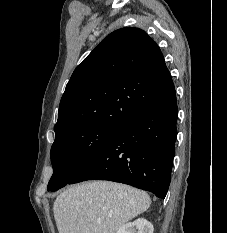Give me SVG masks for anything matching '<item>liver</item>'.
I'll use <instances>...</instances> for the list:
<instances>
[{
  "label": "liver",
  "instance_id": "6515ba94",
  "mask_svg": "<svg viewBox=\"0 0 227 233\" xmlns=\"http://www.w3.org/2000/svg\"><path fill=\"white\" fill-rule=\"evenodd\" d=\"M149 195L109 181L77 184L60 193L53 205L59 233H116L146 211Z\"/></svg>",
  "mask_w": 227,
  "mask_h": 233
}]
</instances>
